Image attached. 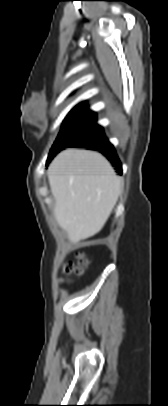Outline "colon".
Instances as JSON below:
<instances>
[{
  "label": "colon",
  "instance_id": "1",
  "mask_svg": "<svg viewBox=\"0 0 168 406\" xmlns=\"http://www.w3.org/2000/svg\"><path fill=\"white\" fill-rule=\"evenodd\" d=\"M89 263V259L83 253H79L75 261H69L64 264L63 272L65 276L62 281L69 283L73 277L82 276Z\"/></svg>",
  "mask_w": 168,
  "mask_h": 406
}]
</instances>
